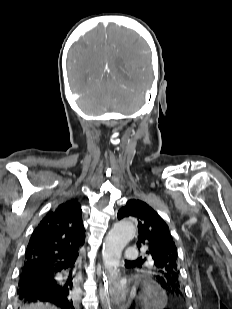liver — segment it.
I'll use <instances>...</instances> for the list:
<instances>
[{"instance_id":"1","label":"liver","mask_w":232,"mask_h":309,"mask_svg":"<svg viewBox=\"0 0 232 309\" xmlns=\"http://www.w3.org/2000/svg\"><path fill=\"white\" fill-rule=\"evenodd\" d=\"M23 309H58V308H56L55 306H52L48 303H46V304L37 303V304L25 306Z\"/></svg>"}]
</instances>
